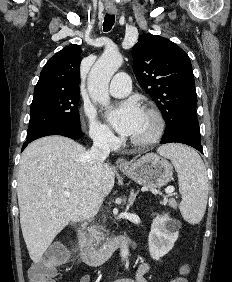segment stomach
Instances as JSON below:
<instances>
[{
	"instance_id": "1",
	"label": "stomach",
	"mask_w": 232,
	"mask_h": 282,
	"mask_svg": "<svg viewBox=\"0 0 232 282\" xmlns=\"http://www.w3.org/2000/svg\"><path fill=\"white\" fill-rule=\"evenodd\" d=\"M122 172L138 184L151 188L165 186L173 177L171 164L154 153L143 155Z\"/></svg>"
}]
</instances>
